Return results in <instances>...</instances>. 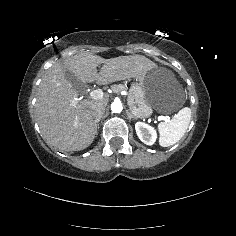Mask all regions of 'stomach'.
I'll return each instance as SVG.
<instances>
[{
    "label": "stomach",
    "mask_w": 236,
    "mask_h": 236,
    "mask_svg": "<svg viewBox=\"0 0 236 236\" xmlns=\"http://www.w3.org/2000/svg\"><path fill=\"white\" fill-rule=\"evenodd\" d=\"M185 103V93L174 75L163 68H155L137 82H133L128 104L136 118H147L153 110L170 114Z\"/></svg>",
    "instance_id": "obj_1"
}]
</instances>
